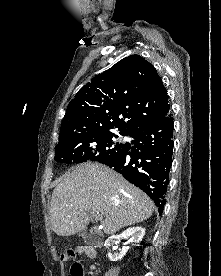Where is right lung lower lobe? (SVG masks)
Masks as SVG:
<instances>
[{"label": "right lung lower lobe", "mask_w": 221, "mask_h": 276, "mask_svg": "<svg viewBox=\"0 0 221 276\" xmlns=\"http://www.w3.org/2000/svg\"><path fill=\"white\" fill-rule=\"evenodd\" d=\"M173 118L170 111L147 127L130 134L135 140L120 155L104 162L150 196L162 215L166 203L173 154Z\"/></svg>", "instance_id": "1"}]
</instances>
